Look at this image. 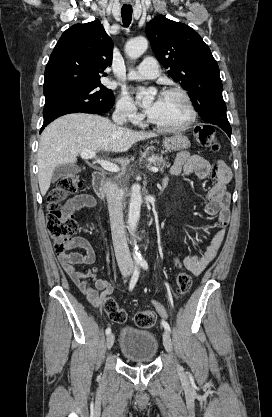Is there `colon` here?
Here are the masks:
<instances>
[{"instance_id": "colon-1", "label": "colon", "mask_w": 272, "mask_h": 417, "mask_svg": "<svg viewBox=\"0 0 272 417\" xmlns=\"http://www.w3.org/2000/svg\"><path fill=\"white\" fill-rule=\"evenodd\" d=\"M194 138L201 146L209 147L214 151L220 148L214 129L211 126H197L194 130ZM81 186L82 183L77 175L67 174L58 180L48 194L47 229L55 241V249L59 254L64 253L71 247L72 238L78 230V224L73 216L65 213L63 202L68 195L77 192ZM175 265L180 268L181 262L176 260ZM192 283V277L188 273L180 272L177 275L176 284L181 294L188 293ZM152 304L161 317H167V311L159 301L153 300ZM104 310L115 323H123L127 319L126 311L120 308L112 298H107L104 301ZM155 321L156 314L151 309H142L134 316L135 324L141 328H150Z\"/></svg>"}]
</instances>
